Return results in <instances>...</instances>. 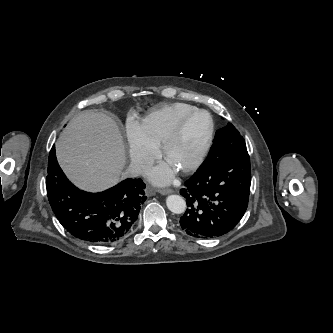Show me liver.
I'll use <instances>...</instances> for the list:
<instances>
[{"instance_id":"liver-1","label":"liver","mask_w":333,"mask_h":333,"mask_svg":"<svg viewBox=\"0 0 333 333\" xmlns=\"http://www.w3.org/2000/svg\"><path fill=\"white\" fill-rule=\"evenodd\" d=\"M66 176L79 188L99 191L116 184L125 163V147L116 122L102 112L74 117L56 143Z\"/></svg>"}]
</instances>
